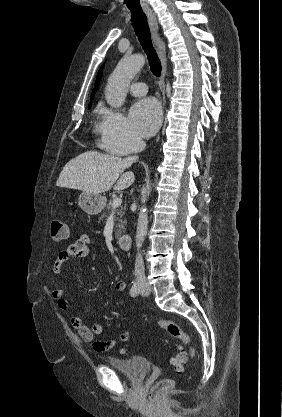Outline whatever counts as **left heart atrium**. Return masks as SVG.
<instances>
[{"label":"left heart atrium","instance_id":"left-heart-atrium-1","mask_svg":"<svg viewBox=\"0 0 282 417\" xmlns=\"http://www.w3.org/2000/svg\"><path fill=\"white\" fill-rule=\"evenodd\" d=\"M161 107L154 99H144L135 103L130 110V124L140 134H151L159 125Z\"/></svg>","mask_w":282,"mask_h":417}]
</instances>
